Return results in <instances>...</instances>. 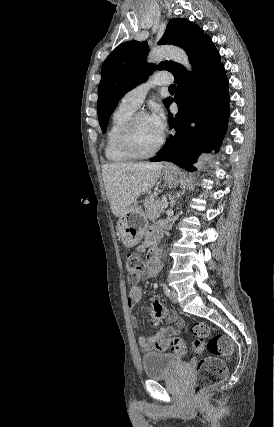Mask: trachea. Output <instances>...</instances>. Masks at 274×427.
<instances>
[{"label": "trachea", "instance_id": "3493384b", "mask_svg": "<svg viewBox=\"0 0 274 427\" xmlns=\"http://www.w3.org/2000/svg\"><path fill=\"white\" fill-rule=\"evenodd\" d=\"M169 90H176V85H170Z\"/></svg>", "mask_w": 274, "mask_h": 427}]
</instances>
